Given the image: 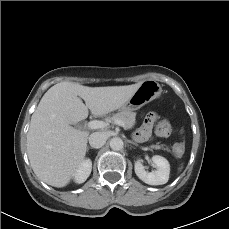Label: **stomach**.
Wrapping results in <instances>:
<instances>
[{
  "label": "stomach",
  "mask_w": 229,
  "mask_h": 229,
  "mask_svg": "<svg viewBox=\"0 0 229 229\" xmlns=\"http://www.w3.org/2000/svg\"><path fill=\"white\" fill-rule=\"evenodd\" d=\"M162 93L161 85L152 79L143 81L131 98L120 108L122 111H134L158 98Z\"/></svg>",
  "instance_id": "1"
}]
</instances>
